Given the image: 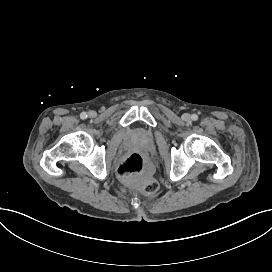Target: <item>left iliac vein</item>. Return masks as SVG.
Masks as SVG:
<instances>
[{"instance_id":"4c4485c4","label":"left iliac vein","mask_w":272,"mask_h":272,"mask_svg":"<svg viewBox=\"0 0 272 272\" xmlns=\"http://www.w3.org/2000/svg\"><path fill=\"white\" fill-rule=\"evenodd\" d=\"M184 119L188 120L189 119V115L187 113L184 114Z\"/></svg>"}]
</instances>
